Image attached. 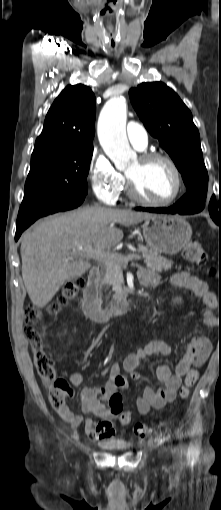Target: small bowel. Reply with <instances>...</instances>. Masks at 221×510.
Here are the masks:
<instances>
[{
  "instance_id": "c3829d8e",
  "label": "small bowel",
  "mask_w": 221,
  "mask_h": 510,
  "mask_svg": "<svg viewBox=\"0 0 221 510\" xmlns=\"http://www.w3.org/2000/svg\"><path fill=\"white\" fill-rule=\"evenodd\" d=\"M140 281L144 286L159 287L162 285L161 276L153 269L146 268L140 271ZM167 283L170 286L184 288L192 291L197 297L203 300L205 310L203 313V324L211 333L217 325L214 310L217 307L216 295L209 289L208 284L200 278L190 275L185 271L173 273ZM171 347L164 341L155 340L138 348L136 351L127 354L122 363H115L110 368V378L105 385L99 387H84L80 391L79 399L81 410L84 414H91L101 419L95 422L92 418L84 420L83 415L72 412L68 407L58 411V414L71 426L78 427L84 423L87 436L92 440L110 438L115 434L112 422L119 419L116 409L110 403V397L117 392L113 385V377L125 371L133 378H139L137 371L139 363L145 357L151 355L170 356ZM211 344L207 336H197L187 346L182 359L176 364L174 371L167 365H160L156 368L155 374L162 384L158 389L145 387L141 396L136 399V408L139 414L146 415L151 409H161L167 403L172 402L181 385L183 377L192 367H201L209 358ZM82 381V375L77 371L70 373V383L78 386ZM128 387L126 385L123 389Z\"/></svg>"
}]
</instances>
